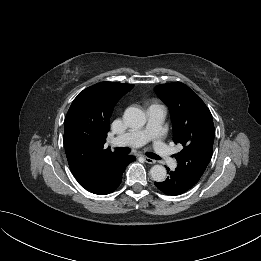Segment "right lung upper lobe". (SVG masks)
Instances as JSON below:
<instances>
[{
    "mask_svg": "<svg viewBox=\"0 0 261 261\" xmlns=\"http://www.w3.org/2000/svg\"><path fill=\"white\" fill-rule=\"evenodd\" d=\"M134 85L100 82L80 92L65 117L63 143L72 174L86 185L122 155L105 149L109 120L118 100Z\"/></svg>",
    "mask_w": 261,
    "mask_h": 261,
    "instance_id": "cb5924a9",
    "label": "right lung upper lobe"
}]
</instances>
